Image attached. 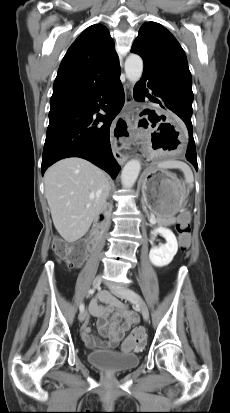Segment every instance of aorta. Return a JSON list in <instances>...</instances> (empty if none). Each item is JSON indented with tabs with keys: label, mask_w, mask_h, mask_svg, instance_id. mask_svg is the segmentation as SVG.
Here are the masks:
<instances>
[{
	"label": "aorta",
	"mask_w": 230,
	"mask_h": 413,
	"mask_svg": "<svg viewBox=\"0 0 230 413\" xmlns=\"http://www.w3.org/2000/svg\"><path fill=\"white\" fill-rule=\"evenodd\" d=\"M143 73V60L137 54H130L125 61V74L127 79L136 83ZM141 163L137 159L128 161L121 172V183L124 188H132L139 176Z\"/></svg>",
	"instance_id": "obj_1"
}]
</instances>
